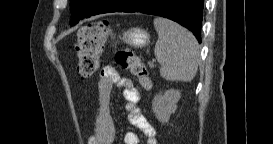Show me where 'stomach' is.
I'll return each instance as SVG.
<instances>
[{
    "mask_svg": "<svg viewBox=\"0 0 273 144\" xmlns=\"http://www.w3.org/2000/svg\"><path fill=\"white\" fill-rule=\"evenodd\" d=\"M122 40L133 47L142 48L149 43L150 37L147 31L136 27L124 32Z\"/></svg>",
    "mask_w": 273,
    "mask_h": 144,
    "instance_id": "0dacf381",
    "label": "stomach"
}]
</instances>
